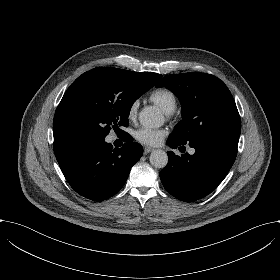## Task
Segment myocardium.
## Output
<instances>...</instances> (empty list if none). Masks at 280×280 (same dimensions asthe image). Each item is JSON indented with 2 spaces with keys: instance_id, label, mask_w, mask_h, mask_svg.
I'll list each match as a JSON object with an SVG mask.
<instances>
[{
  "instance_id": "obj_1",
  "label": "myocardium",
  "mask_w": 280,
  "mask_h": 280,
  "mask_svg": "<svg viewBox=\"0 0 280 280\" xmlns=\"http://www.w3.org/2000/svg\"><path fill=\"white\" fill-rule=\"evenodd\" d=\"M167 116L171 117L173 115V111L172 112H166Z\"/></svg>"
}]
</instances>
